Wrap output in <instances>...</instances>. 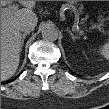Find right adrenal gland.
Here are the masks:
<instances>
[{
    "instance_id": "right-adrenal-gland-1",
    "label": "right adrenal gland",
    "mask_w": 109,
    "mask_h": 109,
    "mask_svg": "<svg viewBox=\"0 0 109 109\" xmlns=\"http://www.w3.org/2000/svg\"><path fill=\"white\" fill-rule=\"evenodd\" d=\"M27 34H28V33H24V34L22 35L21 46H23V44H24V40H25V37L27 36Z\"/></svg>"
}]
</instances>
